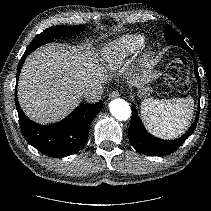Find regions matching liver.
Returning a JSON list of instances; mask_svg holds the SVG:
<instances>
[{
	"instance_id": "6515ba94",
	"label": "liver",
	"mask_w": 211,
	"mask_h": 211,
	"mask_svg": "<svg viewBox=\"0 0 211 211\" xmlns=\"http://www.w3.org/2000/svg\"><path fill=\"white\" fill-rule=\"evenodd\" d=\"M109 77L91 51H68L62 44H49L26 58L18 82V100L33 121L54 123L80 104L85 89L102 87Z\"/></svg>"
}]
</instances>
